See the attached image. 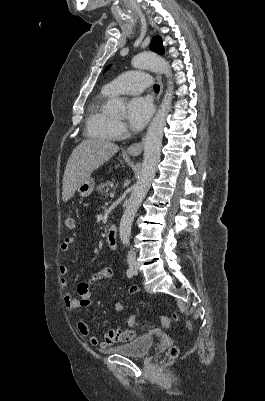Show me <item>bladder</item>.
I'll return each instance as SVG.
<instances>
[{
	"label": "bladder",
	"instance_id": "obj_1",
	"mask_svg": "<svg viewBox=\"0 0 265 401\" xmlns=\"http://www.w3.org/2000/svg\"><path fill=\"white\" fill-rule=\"evenodd\" d=\"M153 344L154 339L151 336H145L132 340L126 345L111 348L110 351L131 356H143L150 351Z\"/></svg>",
	"mask_w": 265,
	"mask_h": 401
}]
</instances>
